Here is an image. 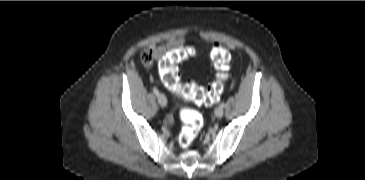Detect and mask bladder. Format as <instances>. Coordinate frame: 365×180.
<instances>
[{"label":"bladder","mask_w":365,"mask_h":180,"mask_svg":"<svg viewBox=\"0 0 365 180\" xmlns=\"http://www.w3.org/2000/svg\"><path fill=\"white\" fill-rule=\"evenodd\" d=\"M174 106L179 111L189 107V101L182 92L176 91L174 95Z\"/></svg>","instance_id":"bladder-1"}]
</instances>
